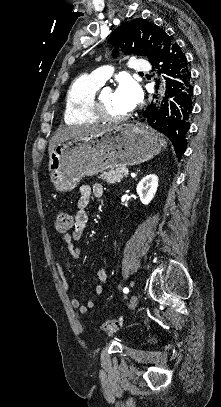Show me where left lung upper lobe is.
<instances>
[{"mask_svg": "<svg viewBox=\"0 0 221 407\" xmlns=\"http://www.w3.org/2000/svg\"><path fill=\"white\" fill-rule=\"evenodd\" d=\"M167 36L159 26L139 18L115 29L108 42L126 53L147 55L149 61L155 63Z\"/></svg>", "mask_w": 221, "mask_h": 407, "instance_id": "left-lung-upper-lobe-1", "label": "left lung upper lobe"}]
</instances>
